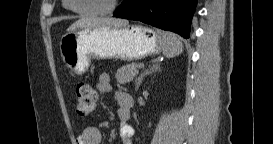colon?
<instances>
[{
  "label": "colon",
  "instance_id": "5ec220e1",
  "mask_svg": "<svg viewBox=\"0 0 273 144\" xmlns=\"http://www.w3.org/2000/svg\"><path fill=\"white\" fill-rule=\"evenodd\" d=\"M77 112L87 115L94 111L97 103V92L92 85L80 82L76 86Z\"/></svg>",
  "mask_w": 273,
  "mask_h": 144
}]
</instances>
